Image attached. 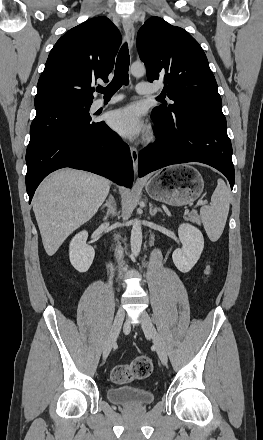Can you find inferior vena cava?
I'll use <instances>...</instances> for the list:
<instances>
[{
  "mask_svg": "<svg viewBox=\"0 0 263 440\" xmlns=\"http://www.w3.org/2000/svg\"><path fill=\"white\" fill-rule=\"evenodd\" d=\"M116 256H117L118 261H120V260L122 259V257H123V252H122V249H121L120 246H119L118 249H116ZM120 265H121V264H120ZM120 273H121V272H120Z\"/></svg>",
  "mask_w": 263,
  "mask_h": 440,
  "instance_id": "inferior-vena-cava-1",
  "label": "inferior vena cava"
}]
</instances>
